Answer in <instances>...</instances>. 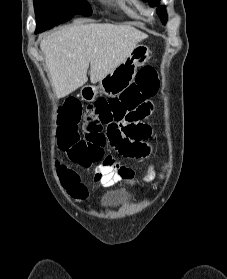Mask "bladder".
<instances>
[{"mask_svg": "<svg viewBox=\"0 0 227 279\" xmlns=\"http://www.w3.org/2000/svg\"><path fill=\"white\" fill-rule=\"evenodd\" d=\"M133 201V195L128 191L114 190L102 196L99 207L104 211L116 209Z\"/></svg>", "mask_w": 227, "mask_h": 279, "instance_id": "obj_1", "label": "bladder"}]
</instances>
